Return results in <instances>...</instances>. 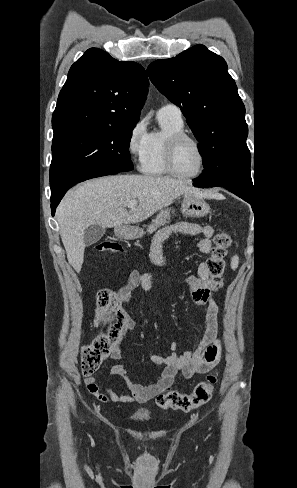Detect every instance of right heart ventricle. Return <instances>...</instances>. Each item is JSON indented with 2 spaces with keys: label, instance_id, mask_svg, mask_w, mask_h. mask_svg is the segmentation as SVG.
<instances>
[{
  "label": "right heart ventricle",
  "instance_id": "obj_1",
  "mask_svg": "<svg viewBox=\"0 0 297 488\" xmlns=\"http://www.w3.org/2000/svg\"><path fill=\"white\" fill-rule=\"evenodd\" d=\"M159 122L161 131L148 134L147 151L141 164L142 172L155 176L169 173L164 165L166 140L176 133L184 132L183 121L159 117Z\"/></svg>",
  "mask_w": 297,
  "mask_h": 488
}]
</instances>
